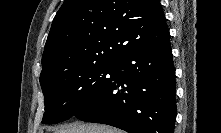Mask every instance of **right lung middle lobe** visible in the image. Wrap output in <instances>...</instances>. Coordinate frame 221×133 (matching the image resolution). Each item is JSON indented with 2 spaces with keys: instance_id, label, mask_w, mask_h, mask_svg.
Returning a JSON list of instances; mask_svg holds the SVG:
<instances>
[{
  "instance_id": "dd1d6c3e",
  "label": "right lung middle lobe",
  "mask_w": 221,
  "mask_h": 133,
  "mask_svg": "<svg viewBox=\"0 0 221 133\" xmlns=\"http://www.w3.org/2000/svg\"><path fill=\"white\" fill-rule=\"evenodd\" d=\"M112 63L69 64L40 76L45 98L42 123L55 124L74 116L107 79Z\"/></svg>"
}]
</instances>
